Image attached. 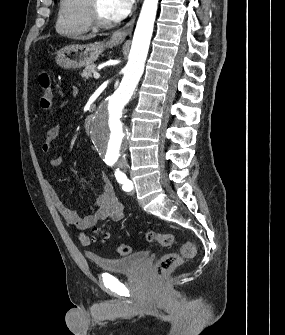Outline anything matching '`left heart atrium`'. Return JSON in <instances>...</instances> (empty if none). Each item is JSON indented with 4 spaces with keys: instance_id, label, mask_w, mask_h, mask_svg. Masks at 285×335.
I'll use <instances>...</instances> for the list:
<instances>
[{
    "instance_id": "39dd6f15",
    "label": "left heart atrium",
    "mask_w": 285,
    "mask_h": 335,
    "mask_svg": "<svg viewBox=\"0 0 285 335\" xmlns=\"http://www.w3.org/2000/svg\"><path fill=\"white\" fill-rule=\"evenodd\" d=\"M133 2L134 1H106L111 21L116 23L126 16Z\"/></svg>"
}]
</instances>
